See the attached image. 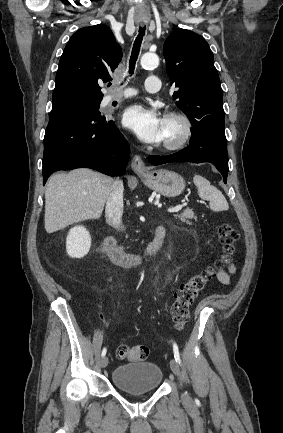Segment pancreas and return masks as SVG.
Listing matches in <instances>:
<instances>
[{"label":"pancreas","instance_id":"pancreas-1","mask_svg":"<svg viewBox=\"0 0 283 433\" xmlns=\"http://www.w3.org/2000/svg\"><path fill=\"white\" fill-rule=\"evenodd\" d=\"M180 221H187V219H194V212L192 208H185L181 214H177Z\"/></svg>","mask_w":283,"mask_h":433}]
</instances>
